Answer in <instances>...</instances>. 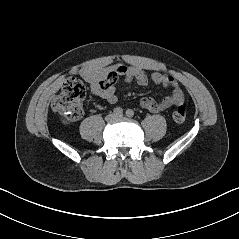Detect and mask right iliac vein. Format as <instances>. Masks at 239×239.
I'll return each mask as SVG.
<instances>
[{
    "mask_svg": "<svg viewBox=\"0 0 239 239\" xmlns=\"http://www.w3.org/2000/svg\"><path fill=\"white\" fill-rule=\"evenodd\" d=\"M116 115L113 113H110L106 116V121H112L113 119H115Z\"/></svg>",
    "mask_w": 239,
    "mask_h": 239,
    "instance_id": "right-iliac-vein-1",
    "label": "right iliac vein"
}]
</instances>
